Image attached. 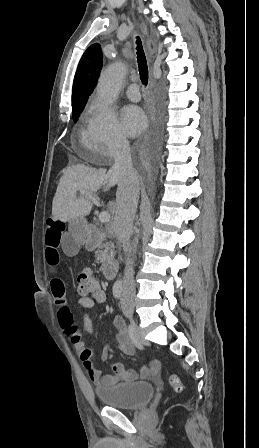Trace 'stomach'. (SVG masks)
Masks as SVG:
<instances>
[{
	"label": "stomach",
	"mask_w": 259,
	"mask_h": 448,
	"mask_svg": "<svg viewBox=\"0 0 259 448\" xmlns=\"http://www.w3.org/2000/svg\"><path fill=\"white\" fill-rule=\"evenodd\" d=\"M69 230L78 242L86 244L91 238V228L84 218H74L69 226Z\"/></svg>",
	"instance_id": "1"
}]
</instances>
